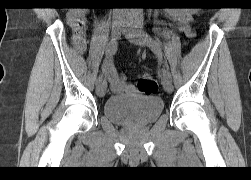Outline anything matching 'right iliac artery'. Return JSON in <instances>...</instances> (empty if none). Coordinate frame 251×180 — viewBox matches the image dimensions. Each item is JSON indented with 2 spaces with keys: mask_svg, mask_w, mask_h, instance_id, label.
<instances>
[{
  "mask_svg": "<svg viewBox=\"0 0 251 180\" xmlns=\"http://www.w3.org/2000/svg\"><path fill=\"white\" fill-rule=\"evenodd\" d=\"M117 50V43L115 41H111L107 44L105 49V63L104 66L110 64L111 58L115 54ZM103 66V68H104ZM103 80V74H100L97 78L96 85H98Z\"/></svg>",
  "mask_w": 251,
  "mask_h": 180,
  "instance_id": "1",
  "label": "right iliac artery"
}]
</instances>
